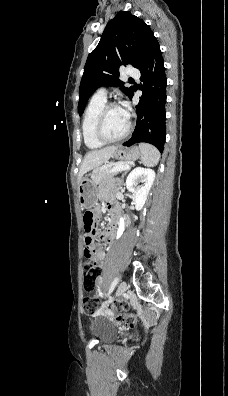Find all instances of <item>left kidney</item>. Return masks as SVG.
<instances>
[{
	"instance_id": "obj_1",
	"label": "left kidney",
	"mask_w": 228,
	"mask_h": 396,
	"mask_svg": "<svg viewBox=\"0 0 228 396\" xmlns=\"http://www.w3.org/2000/svg\"><path fill=\"white\" fill-rule=\"evenodd\" d=\"M154 179L155 172L148 168L136 167L129 173L126 179V187L133 193L136 210L139 211L143 208ZM140 182L142 185L138 186Z\"/></svg>"
}]
</instances>
